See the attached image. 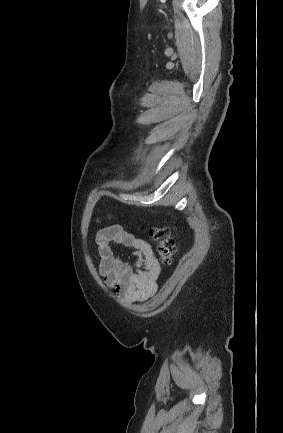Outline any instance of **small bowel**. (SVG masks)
<instances>
[{
    "mask_svg": "<svg viewBox=\"0 0 283 433\" xmlns=\"http://www.w3.org/2000/svg\"><path fill=\"white\" fill-rule=\"evenodd\" d=\"M95 243L99 274L108 287L115 289L120 302L126 305L143 302L156 292L160 265L150 244L120 225L101 229ZM116 245L132 249L134 266L115 253Z\"/></svg>",
    "mask_w": 283,
    "mask_h": 433,
    "instance_id": "c3829d8e",
    "label": "small bowel"
}]
</instances>
